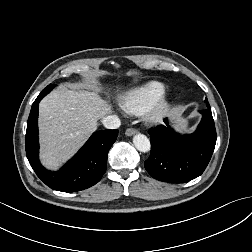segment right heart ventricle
Listing matches in <instances>:
<instances>
[{"instance_id": "1", "label": "right heart ventricle", "mask_w": 252, "mask_h": 252, "mask_svg": "<svg viewBox=\"0 0 252 252\" xmlns=\"http://www.w3.org/2000/svg\"><path fill=\"white\" fill-rule=\"evenodd\" d=\"M165 90L166 87L162 82L149 81L126 92L121 97L119 105L128 114L142 115L165 93Z\"/></svg>"}]
</instances>
